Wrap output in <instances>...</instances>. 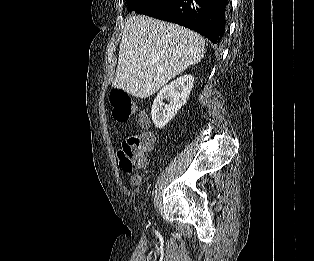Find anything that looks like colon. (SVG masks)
Returning a JSON list of instances; mask_svg holds the SVG:
<instances>
[{
  "label": "colon",
  "instance_id": "5ec220e1",
  "mask_svg": "<svg viewBox=\"0 0 314 261\" xmlns=\"http://www.w3.org/2000/svg\"><path fill=\"white\" fill-rule=\"evenodd\" d=\"M110 103L112 105L113 118L118 122H126L132 116L138 114L141 124L146 122V116L138 112L136 103L130 95L121 88H115L110 92ZM155 143L152 133L132 134L126 137L118 152L121 169L125 173H132L142 164V157L150 151ZM139 177H134L138 181Z\"/></svg>",
  "mask_w": 314,
  "mask_h": 261
}]
</instances>
